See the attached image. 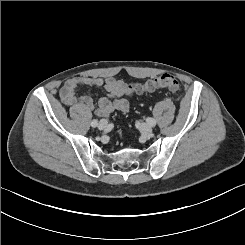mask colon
<instances>
[{
    "label": "colon",
    "mask_w": 245,
    "mask_h": 245,
    "mask_svg": "<svg viewBox=\"0 0 245 245\" xmlns=\"http://www.w3.org/2000/svg\"><path fill=\"white\" fill-rule=\"evenodd\" d=\"M179 88L180 84L177 78L171 74H160L145 82H131L128 84V89L135 94L152 92L157 89L177 91Z\"/></svg>",
    "instance_id": "1"
}]
</instances>
